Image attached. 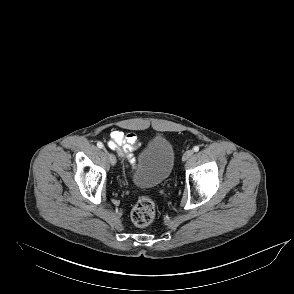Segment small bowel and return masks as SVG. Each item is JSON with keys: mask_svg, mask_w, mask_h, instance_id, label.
<instances>
[{"mask_svg": "<svg viewBox=\"0 0 294 294\" xmlns=\"http://www.w3.org/2000/svg\"><path fill=\"white\" fill-rule=\"evenodd\" d=\"M108 146L112 150H115L120 157L133 165L135 163L133 152L140 146V141L138 136L133 132L124 133L120 130H114L110 134Z\"/></svg>", "mask_w": 294, "mask_h": 294, "instance_id": "c3829d8e", "label": "small bowel"}]
</instances>
